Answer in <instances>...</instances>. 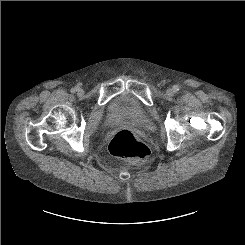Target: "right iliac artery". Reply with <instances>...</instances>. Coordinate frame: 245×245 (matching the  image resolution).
Here are the masks:
<instances>
[{
    "mask_svg": "<svg viewBox=\"0 0 245 245\" xmlns=\"http://www.w3.org/2000/svg\"><path fill=\"white\" fill-rule=\"evenodd\" d=\"M77 90H78V87L72 88V89H71V92L74 93V92H76Z\"/></svg>",
    "mask_w": 245,
    "mask_h": 245,
    "instance_id": "1",
    "label": "right iliac artery"
}]
</instances>
